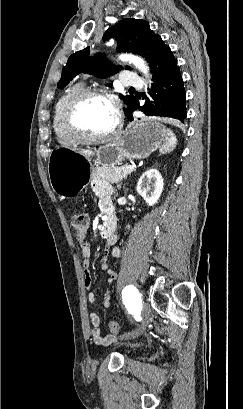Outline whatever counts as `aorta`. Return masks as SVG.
<instances>
[{
    "label": "aorta",
    "instance_id": "762f6f07",
    "mask_svg": "<svg viewBox=\"0 0 243 409\" xmlns=\"http://www.w3.org/2000/svg\"><path fill=\"white\" fill-rule=\"evenodd\" d=\"M120 59L122 61H126L129 62L130 64H133L148 77V67L145 65V62L140 57L133 55H121Z\"/></svg>",
    "mask_w": 243,
    "mask_h": 409
}]
</instances>
